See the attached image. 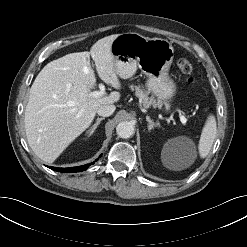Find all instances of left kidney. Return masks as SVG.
I'll list each match as a JSON object with an SVG mask.
<instances>
[{
	"label": "left kidney",
	"instance_id": "obj_1",
	"mask_svg": "<svg viewBox=\"0 0 247 247\" xmlns=\"http://www.w3.org/2000/svg\"><path fill=\"white\" fill-rule=\"evenodd\" d=\"M185 141H187V138L180 137L168 140L164 145L163 156L165 157L166 165L169 168L177 169L179 167L177 162L182 161L183 145Z\"/></svg>",
	"mask_w": 247,
	"mask_h": 247
}]
</instances>
